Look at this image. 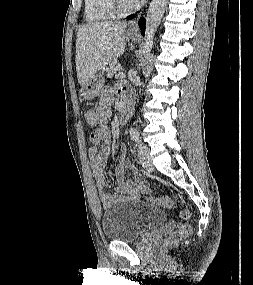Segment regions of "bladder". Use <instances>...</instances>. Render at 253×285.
<instances>
[{
    "label": "bladder",
    "instance_id": "bladder-1",
    "mask_svg": "<svg viewBox=\"0 0 253 285\" xmlns=\"http://www.w3.org/2000/svg\"><path fill=\"white\" fill-rule=\"evenodd\" d=\"M167 219L166 212L140 201H121L102 214V231L107 240L133 242Z\"/></svg>",
    "mask_w": 253,
    "mask_h": 285
}]
</instances>
